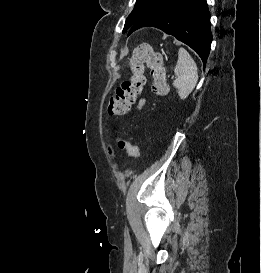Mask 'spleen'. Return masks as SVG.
Instances as JSON below:
<instances>
[{"mask_svg":"<svg viewBox=\"0 0 261 273\" xmlns=\"http://www.w3.org/2000/svg\"><path fill=\"white\" fill-rule=\"evenodd\" d=\"M176 79L173 82L180 99H186L198 81V69L195 61L184 48L178 51V61L174 70Z\"/></svg>","mask_w":261,"mask_h":273,"instance_id":"3e777b00","label":"spleen"}]
</instances>
